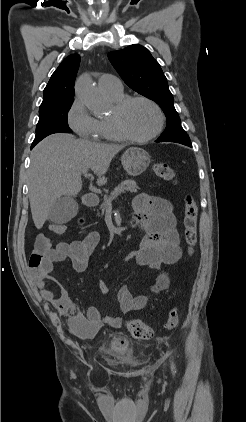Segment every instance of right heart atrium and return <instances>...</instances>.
I'll return each mask as SVG.
<instances>
[{
  "label": "right heart atrium",
  "instance_id": "d8ad5b80",
  "mask_svg": "<svg viewBox=\"0 0 246 422\" xmlns=\"http://www.w3.org/2000/svg\"><path fill=\"white\" fill-rule=\"evenodd\" d=\"M67 119L70 128L81 138L90 141L100 139L99 120L89 113L80 99L76 98L71 104Z\"/></svg>",
  "mask_w": 246,
  "mask_h": 422
}]
</instances>
